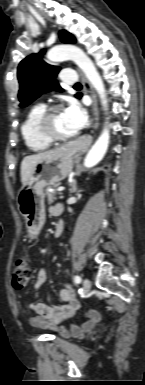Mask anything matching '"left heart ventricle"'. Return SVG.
<instances>
[{
	"mask_svg": "<svg viewBox=\"0 0 145 385\" xmlns=\"http://www.w3.org/2000/svg\"><path fill=\"white\" fill-rule=\"evenodd\" d=\"M51 127L53 132L59 136H69L75 133L68 123L63 110L57 111L54 114L51 120Z\"/></svg>",
	"mask_w": 145,
	"mask_h": 385,
	"instance_id": "b2bd125f",
	"label": "left heart ventricle"
}]
</instances>
